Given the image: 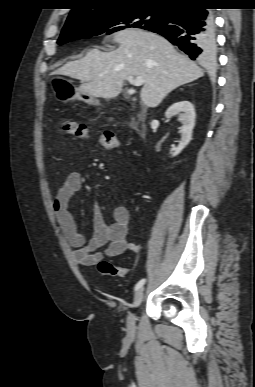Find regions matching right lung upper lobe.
<instances>
[{"mask_svg":"<svg viewBox=\"0 0 255 387\" xmlns=\"http://www.w3.org/2000/svg\"><path fill=\"white\" fill-rule=\"evenodd\" d=\"M197 0H76V7L71 10L66 23L74 22L80 18L105 9L121 6H143L171 8Z\"/></svg>","mask_w":255,"mask_h":387,"instance_id":"obj_1","label":"right lung upper lobe"}]
</instances>
